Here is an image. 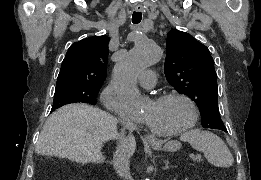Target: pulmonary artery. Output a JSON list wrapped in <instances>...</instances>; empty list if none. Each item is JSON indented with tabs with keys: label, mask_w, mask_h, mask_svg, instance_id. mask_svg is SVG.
I'll return each instance as SVG.
<instances>
[{
	"label": "pulmonary artery",
	"mask_w": 261,
	"mask_h": 180,
	"mask_svg": "<svg viewBox=\"0 0 261 180\" xmlns=\"http://www.w3.org/2000/svg\"><path fill=\"white\" fill-rule=\"evenodd\" d=\"M156 78L157 74L150 67L149 69H144V73H140L138 76V81L141 83L140 87L143 89L154 88Z\"/></svg>",
	"instance_id": "e3ab8cb5"
}]
</instances>
